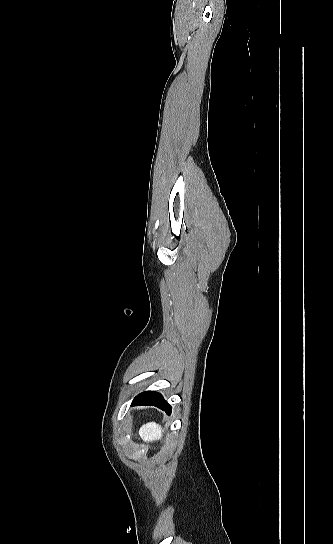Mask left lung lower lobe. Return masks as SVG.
Wrapping results in <instances>:
<instances>
[{
	"instance_id": "0a47b994",
	"label": "left lung lower lobe",
	"mask_w": 333,
	"mask_h": 544,
	"mask_svg": "<svg viewBox=\"0 0 333 544\" xmlns=\"http://www.w3.org/2000/svg\"><path fill=\"white\" fill-rule=\"evenodd\" d=\"M132 405L156 406L164 410L168 415L171 414V406L164 400L160 393L154 391H145L134 398Z\"/></svg>"
}]
</instances>
